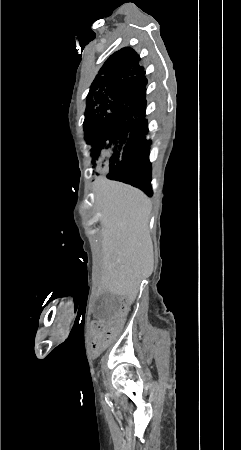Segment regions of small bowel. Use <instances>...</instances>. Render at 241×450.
I'll return each mask as SVG.
<instances>
[{"instance_id":"1","label":"small bowel","mask_w":241,"mask_h":450,"mask_svg":"<svg viewBox=\"0 0 241 450\" xmlns=\"http://www.w3.org/2000/svg\"><path fill=\"white\" fill-rule=\"evenodd\" d=\"M120 306H121L120 310H116L114 312V317L116 319L125 318L126 314L129 312V307H128L129 303L127 301H122L120 303ZM91 325L93 328L90 330V333L94 336L99 335L101 332L99 328H101V326H102L101 321L95 320L92 322ZM117 325L120 327L122 324L119 322ZM109 333L111 335H115L117 333V330L115 328H111L109 330ZM110 334L109 335H101V336H99L98 340L97 339L90 340V342H89L90 347L97 348L99 346V343H101V344L112 343L114 341V338Z\"/></svg>"}]
</instances>
